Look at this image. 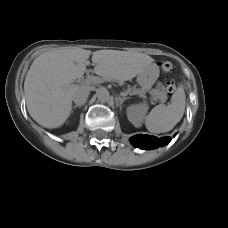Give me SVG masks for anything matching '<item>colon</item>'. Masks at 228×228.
<instances>
[{"label":"colon","mask_w":228,"mask_h":228,"mask_svg":"<svg viewBox=\"0 0 228 228\" xmlns=\"http://www.w3.org/2000/svg\"><path fill=\"white\" fill-rule=\"evenodd\" d=\"M161 66V69L164 71V72H170L173 68L172 64L168 61H165V62H162L160 64ZM176 89V84L174 81H170L168 84H167V91L168 93H173Z\"/></svg>","instance_id":"obj_1"}]
</instances>
